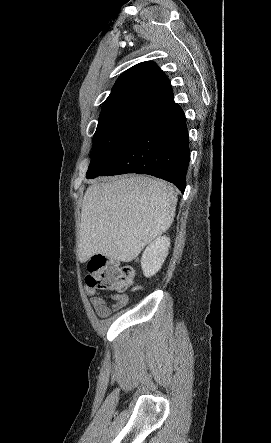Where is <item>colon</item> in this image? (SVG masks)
<instances>
[{
    "label": "colon",
    "mask_w": 271,
    "mask_h": 443,
    "mask_svg": "<svg viewBox=\"0 0 271 443\" xmlns=\"http://www.w3.org/2000/svg\"><path fill=\"white\" fill-rule=\"evenodd\" d=\"M134 270L114 260L98 258L91 262L86 284L94 289L123 293L133 289Z\"/></svg>",
    "instance_id": "colon-1"
}]
</instances>
